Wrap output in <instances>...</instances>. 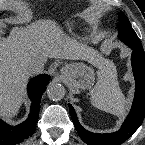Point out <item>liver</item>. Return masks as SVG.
Listing matches in <instances>:
<instances>
[{
	"label": "liver",
	"instance_id": "6515ba94",
	"mask_svg": "<svg viewBox=\"0 0 145 145\" xmlns=\"http://www.w3.org/2000/svg\"><path fill=\"white\" fill-rule=\"evenodd\" d=\"M47 58L85 60L100 71L114 68L93 49L63 36L50 19L38 20L26 28L15 27L7 38L0 39V117L10 121L18 113L30 76L27 64Z\"/></svg>",
	"mask_w": 145,
	"mask_h": 145
}]
</instances>
